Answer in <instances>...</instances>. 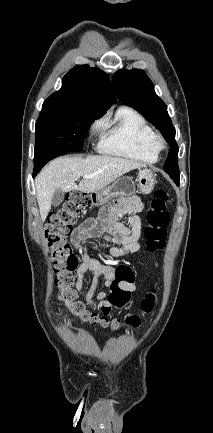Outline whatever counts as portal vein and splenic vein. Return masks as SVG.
Here are the masks:
<instances>
[{"instance_id": "obj_1", "label": "portal vein and splenic vein", "mask_w": 213, "mask_h": 433, "mask_svg": "<svg viewBox=\"0 0 213 433\" xmlns=\"http://www.w3.org/2000/svg\"><path fill=\"white\" fill-rule=\"evenodd\" d=\"M94 175H86V176H84V178H86V179H89V178H92Z\"/></svg>"}]
</instances>
